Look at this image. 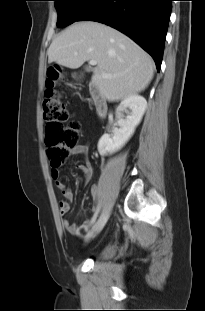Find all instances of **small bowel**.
Masks as SVG:
<instances>
[{"label": "small bowel", "instance_id": "small-bowel-1", "mask_svg": "<svg viewBox=\"0 0 205 311\" xmlns=\"http://www.w3.org/2000/svg\"><path fill=\"white\" fill-rule=\"evenodd\" d=\"M89 151V147L87 144H78L74 149L71 150V155H84L87 156ZM78 168L83 172L85 181H90L93 177L94 168L92 161L86 157L85 161L78 165ZM52 178L55 180V184L57 189L63 195L65 200H61L58 203L59 213L62 216H65L70 211L69 202L73 200V193L67 187V185L60 179L59 172H55L52 170L51 172ZM91 196L94 198L97 194V187L92 186L90 189ZM97 210V208H96ZM95 210V211H96ZM93 218V217H92ZM92 218L84 221L81 224L72 223L69 220H63L62 224L64 228L71 234H80L86 230H88L92 226Z\"/></svg>", "mask_w": 205, "mask_h": 311}]
</instances>
